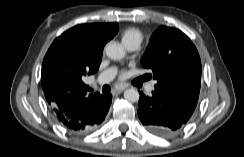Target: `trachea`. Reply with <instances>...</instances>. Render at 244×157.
I'll list each match as a JSON object with an SVG mask.
<instances>
[{
    "label": "trachea",
    "mask_w": 244,
    "mask_h": 157,
    "mask_svg": "<svg viewBox=\"0 0 244 157\" xmlns=\"http://www.w3.org/2000/svg\"><path fill=\"white\" fill-rule=\"evenodd\" d=\"M109 91H110V88L107 87V86H104V87L102 88V92H103L104 94L108 93Z\"/></svg>",
    "instance_id": "1"
}]
</instances>
